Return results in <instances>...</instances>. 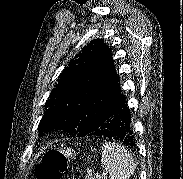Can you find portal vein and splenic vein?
Here are the masks:
<instances>
[{
	"instance_id": "1",
	"label": "portal vein and splenic vein",
	"mask_w": 183,
	"mask_h": 179,
	"mask_svg": "<svg viewBox=\"0 0 183 179\" xmlns=\"http://www.w3.org/2000/svg\"><path fill=\"white\" fill-rule=\"evenodd\" d=\"M106 174H107L106 172H103V174H102V175H104V176H105Z\"/></svg>"
}]
</instances>
